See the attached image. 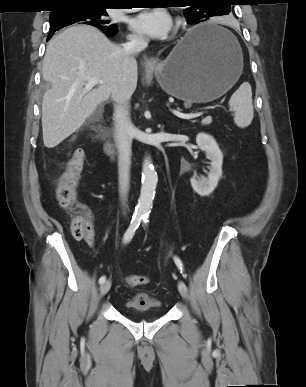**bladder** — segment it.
I'll list each match as a JSON object with an SVG mask.
<instances>
[{
    "mask_svg": "<svg viewBox=\"0 0 306 387\" xmlns=\"http://www.w3.org/2000/svg\"><path fill=\"white\" fill-rule=\"evenodd\" d=\"M124 309L131 317L145 313H151L157 317L164 314L162 302L146 292L136 293L133 297L128 299L124 304Z\"/></svg>",
    "mask_w": 306,
    "mask_h": 387,
    "instance_id": "1",
    "label": "bladder"
}]
</instances>
